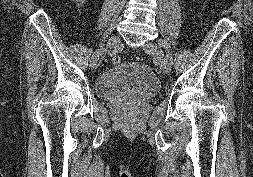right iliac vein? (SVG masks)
Returning <instances> with one entry per match:
<instances>
[{"label":"right iliac vein","mask_w":253,"mask_h":177,"mask_svg":"<svg viewBox=\"0 0 253 177\" xmlns=\"http://www.w3.org/2000/svg\"><path fill=\"white\" fill-rule=\"evenodd\" d=\"M120 45V39L118 36H112L108 42H107V48L108 49H112V48H116ZM95 54V53H94ZM102 53H100V57H101ZM99 58L93 57L91 59V66L93 69H96L98 67V62L100 60Z\"/></svg>","instance_id":"obj_1"}]
</instances>
